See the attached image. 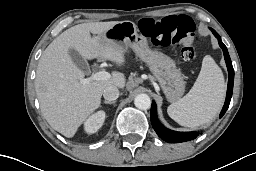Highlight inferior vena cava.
<instances>
[{"instance_id":"1","label":"inferior vena cava","mask_w":256,"mask_h":171,"mask_svg":"<svg viewBox=\"0 0 256 171\" xmlns=\"http://www.w3.org/2000/svg\"><path fill=\"white\" fill-rule=\"evenodd\" d=\"M105 100L114 101L119 97V90L115 86H108L103 91Z\"/></svg>"}]
</instances>
